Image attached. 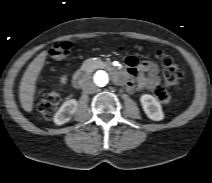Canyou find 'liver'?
<instances>
[{
	"label": "liver",
	"instance_id": "1",
	"mask_svg": "<svg viewBox=\"0 0 212 183\" xmlns=\"http://www.w3.org/2000/svg\"><path fill=\"white\" fill-rule=\"evenodd\" d=\"M47 52L40 53L28 66L22 77L19 97L22 108L31 112L33 109L34 95L36 92V82L45 64Z\"/></svg>",
	"mask_w": 212,
	"mask_h": 183
}]
</instances>
